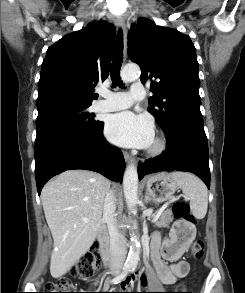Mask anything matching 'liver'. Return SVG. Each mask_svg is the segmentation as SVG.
I'll list each match as a JSON object with an SVG mask.
<instances>
[{
  "label": "liver",
  "instance_id": "liver-1",
  "mask_svg": "<svg viewBox=\"0 0 245 293\" xmlns=\"http://www.w3.org/2000/svg\"><path fill=\"white\" fill-rule=\"evenodd\" d=\"M109 189L108 179L87 170H67L43 187L41 201L55 247L54 278L66 274L95 241Z\"/></svg>",
  "mask_w": 245,
  "mask_h": 293
}]
</instances>
